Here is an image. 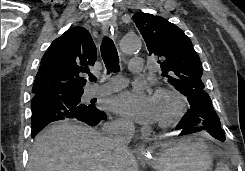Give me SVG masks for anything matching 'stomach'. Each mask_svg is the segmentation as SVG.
Listing matches in <instances>:
<instances>
[{
	"label": "stomach",
	"instance_id": "1",
	"mask_svg": "<svg viewBox=\"0 0 245 171\" xmlns=\"http://www.w3.org/2000/svg\"><path fill=\"white\" fill-rule=\"evenodd\" d=\"M215 147L204 135L162 146L148 163L155 171H211Z\"/></svg>",
	"mask_w": 245,
	"mask_h": 171
}]
</instances>
